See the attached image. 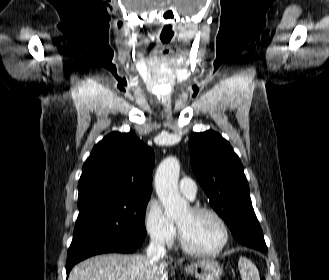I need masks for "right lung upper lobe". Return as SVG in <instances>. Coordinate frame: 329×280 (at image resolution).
Instances as JSON below:
<instances>
[{
    "label": "right lung upper lobe",
    "mask_w": 329,
    "mask_h": 280,
    "mask_svg": "<svg viewBox=\"0 0 329 280\" xmlns=\"http://www.w3.org/2000/svg\"><path fill=\"white\" fill-rule=\"evenodd\" d=\"M154 159L153 150L134 133H110L84 163L78 200L150 196Z\"/></svg>",
    "instance_id": "1"
}]
</instances>
